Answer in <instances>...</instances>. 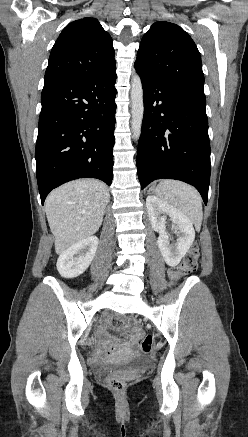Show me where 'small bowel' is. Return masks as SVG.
Instances as JSON below:
<instances>
[{
    "mask_svg": "<svg viewBox=\"0 0 248 437\" xmlns=\"http://www.w3.org/2000/svg\"><path fill=\"white\" fill-rule=\"evenodd\" d=\"M129 324V323H128ZM139 337V331L135 328L132 329V332L125 342L116 341L113 342L111 338L104 335V343L101 349H99V353L110 354L113 351H126L133 348L136 344Z\"/></svg>",
    "mask_w": 248,
    "mask_h": 437,
    "instance_id": "c3829d8e",
    "label": "small bowel"
}]
</instances>
